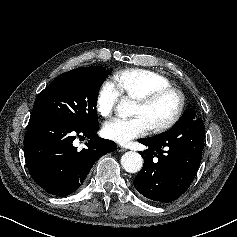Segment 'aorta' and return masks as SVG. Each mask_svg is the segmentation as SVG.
Wrapping results in <instances>:
<instances>
[{"label": "aorta", "mask_w": 237, "mask_h": 237, "mask_svg": "<svg viewBox=\"0 0 237 237\" xmlns=\"http://www.w3.org/2000/svg\"><path fill=\"white\" fill-rule=\"evenodd\" d=\"M133 105L130 101L124 100L117 106V111L121 116H130L132 114ZM121 165L126 172L136 173L143 166V159L137 152L129 151L122 155Z\"/></svg>", "instance_id": "1"}]
</instances>
